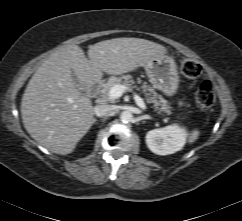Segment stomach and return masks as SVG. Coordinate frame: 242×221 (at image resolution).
<instances>
[{"label": "stomach", "instance_id": "0dacf381", "mask_svg": "<svg viewBox=\"0 0 242 221\" xmlns=\"http://www.w3.org/2000/svg\"><path fill=\"white\" fill-rule=\"evenodd\" d=\"M145 70L154 88L168 96L177 93L179 76L175 60L171 56L163 55L151 60Z\"/></svg>", "mask_w": 242, "mask_h": 221}]
</instances>
